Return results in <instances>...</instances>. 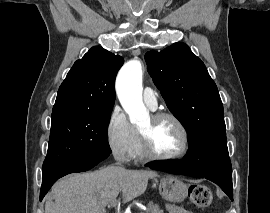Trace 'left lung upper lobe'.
I'll return each mask as SVG.
<instances>
[{
  "label": "left lung upper lobe",
  "instance_id": "5c2ea615",
  "mask_svg": "<svg viewBox=\"0 0 270 213\" xmlns=\"http://www.w3.org/2000/svg\"><path fill=\"white\" fill-rule=\"evenodd\" d=\"M148 72L169 110L188 131V142L204 176L231 173L223 104L203 62L181 42L145 55Z\"/></svg>",
  "mask_w": 270,
  "mask_h": 213
}]
</instances>
